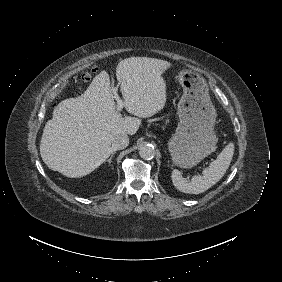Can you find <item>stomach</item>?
<instances>
[{
    "instance_id": "stomach-1",
    "label": "stomach",
    "mask_w": 282,
    "mask_h": 282,
    "mask_svg": "<svg viewBox=\"0 0 282 282\" xmlns=\"http://www.w3.org/2000/svg\"><path fill=\"white\" fill-rule=\"evenodd\" d=\"M177 78L184 92L177 110L180 122L168 149L175 165L192 168L216 149L217 113L204 78L189 71H182Z\"/></svg>"
}]
</instances>
